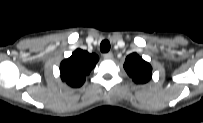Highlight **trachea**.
Masks as SVG:
<instances>
[{
	"mask_svg": "<svg viewBox=\"0 0 203 123\" xmlns=\"http://www.w3.org/2000/svg\"><path fill=\"white\" fill-rule=\"evenodd\" d=\"M100 50L103 53H107L110 50V43L107 40H104L100 44Z\"/></svg>",
	"mask_w": 203,
	"mask_h": 123,
	"instance_id": "1",
	"label": "trachea"
}]
</instances>
